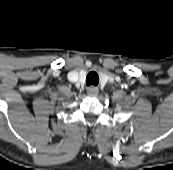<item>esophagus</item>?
<instances>
[{
    "label": "esophagus",
    "mask_w": 173,
    "mask_h": 170,
    "mask_svg": "<svg viewBox=\"0 0 173 170\" xmlns=\"http://www.w3.org/2000/svg\"><path fill=\"white\" fill-rule=\"evenodd\" d=\"M98 88H96L95 86H90L87 88V94L90 97H95L98 95Z\"/></svg>",
    "instance_id": "obj_1"
}]
</instances>
